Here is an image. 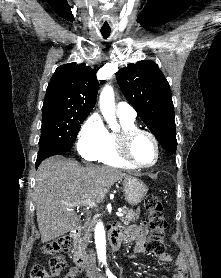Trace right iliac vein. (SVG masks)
I'll return each instance as SVG.
<instances>
[{
	"mask_svg": "<svg viewBox=\"0 0 221 278\" xmlns=\"http://www.w3.org/2000/svg\"><path fill=\"white\" fill-rule=\"evenodd\" d=\"M90 278H95L94 276H90Z\"/></svg>",
	"mask_w": 221,
	"mask_h": 278,
	"instance_id": "obj_1",
	"label": "right iliac vein"
}]
</instances>
